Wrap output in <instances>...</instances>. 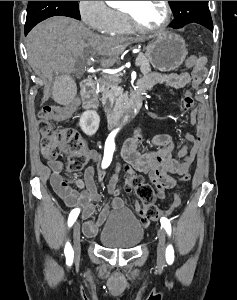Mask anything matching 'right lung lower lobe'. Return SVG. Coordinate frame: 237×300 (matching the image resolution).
<instances>
[{
    "label": "right lung lower lobe",
    "instance_id": "98d812e1",
    "mask_svg": "<svg viewBox=\"0 0 237 300\" xmlns=\"http://www.w3.org/2000/svg\"><path fill=\"white\" fill-rule=\"evenodd\" d=\"M31 26H25V35L32 29Z\"/></svg>",
    "mask_w": 237,
    "mask_h": 300
}]
</instances>
